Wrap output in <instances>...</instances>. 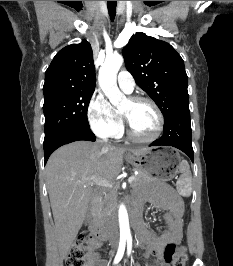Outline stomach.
Here are the masks:
<instances>
[{"instance_id":"stomach-1","label":"stomach","mask_w":233,"mask_h":266,"mask_svg":"<svg viewBox=\"0 0 233 266\" xmlns=\"http://www.w3.org/2000/svg\"><path fill=\"white\" fill-rule=\"evenodd\" d=\"M127 160L139 171L154 176V180H174V166H182L184 157L179 147H153L141 155H128Z\"/></svg>"}]
</instances>
